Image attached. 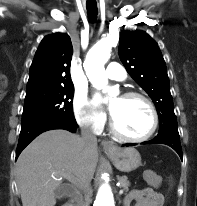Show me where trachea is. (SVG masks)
<instances>
[{
  "label": "trachea",
  "instance_id": "1",
  "mask_svg": "<svg viewBox=\"0 0 197 206\" xmlns=\"http://www.w3.org/2000/svg\"><path fill=\"white\" fill-rule=\"evenodd\" d=\"M87 13L89 19L94 22L97 17V3L96 1H87L86 2Z\"/></svg>",
  "mask_w": 197,
  "mask_h": 206
}]
</instances>
